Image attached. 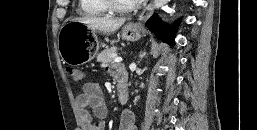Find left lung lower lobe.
<instances>
[{
  "label": "left lung lower lobe",
  "mask_w": 257,
  "mask_h": 130,
  "mask_svg": "<svg viewBox=\"0 0 257 130\" xmlns=\"http://www.w3.org/2000/svg\"><path fill=\"white\" fill-rule=\"evenodd\" d=\"M146 25L150 28L155 35L169 43L174 45V34L175 30L172 27H168L166 24H163L157 14H154L147 22Z\"/></svg>",
  "instance_id": "0a47b994"
}]
</instances>
